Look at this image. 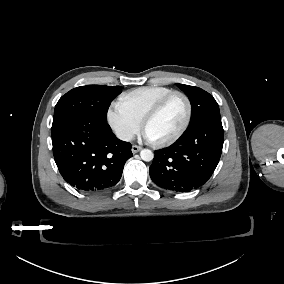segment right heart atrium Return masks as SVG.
<instances>
[{"instance_id":"obj_1","label":"right heart atrium","mask_w":284,"mask_h":284,"mask_svg":"<svg viewBox=\"0 0 284 284\" xmlns=\"http://www.w3.org/2000/svg\"><path fill=\"white\" fill-rule=\"evenodd\" d=\"M106 120L114 136L122 142L131 141L141 127V120L121 108L117 102L108 106Z\"/></svg>"}]
</instances>
